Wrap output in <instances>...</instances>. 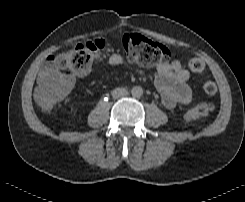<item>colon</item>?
<instances>
[{
  "mask_svg": "<svg viewBox=\"0 0 245 202\" xmlns=\"http://www.w3.org/2000/svg\"><path fill=\"white\" fill-rule=\"evenodd\" d=\"M105 47L104 39L83 41L72 49L54 56L51 62L61 74L59 76L51 74L36 94L40 109L50 111L65 98L69 91L68 80L84 75ZM122 49L129 62L143 67L165 63L171 56L167 46L137 34H124ZM189 66L191 71L197 74L202 73L205 68L204 63L199 59H192ZM203 91L207 95H214L217 92V86L212 80H207L203 84ZM212 110L211 103L199 102L185 110L184 118L189 122L203 121Z\"/></svg>",
  "mask_w": 245,
  "mask_h": 202,
  "instance_id": "colon-1",
  "label": "colon"
}]
</instances>
